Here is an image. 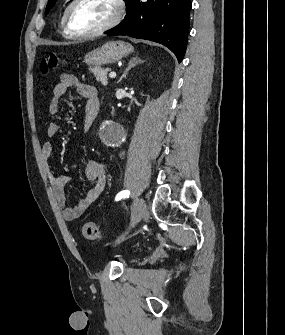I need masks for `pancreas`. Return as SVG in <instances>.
<instances>
[{
	"mask_svg": "<svg viewBox=\"0 0 285 335\" xmlns=\"http://www.w3.org/2000/svg\"><path fill=\"white\" fill-rule=\"evenodd\" d=\"M91 70L92 74H94L96 80L98 82H101L103 86H107L108 84V72H111V68H97V66H94V68H89Z\"/></svg>",
	"mask_w": 285,
	"mask_h": 335,
	"instance_id": "obj_1",
	"label": "pancreas"
}]
</instances>
